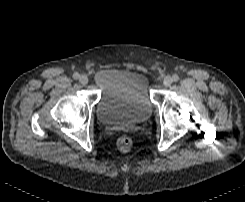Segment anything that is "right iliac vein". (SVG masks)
<instances>
[{"label":"right iliac vein","mask_w":245,"mask_h":202,"mask_svg":"<svg viewBox=\"0 0 245 202\" xmlns=\"http://www.w3.org/2000/svg\"><path fill=\"white\" fill-rule=\"evenodd\" d=\"M79 82L82 84V85H86L88 83V77L86 75H81L79 77Z\"/></svg>","instance_id":"1"}]
</instances>
